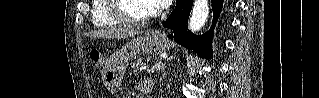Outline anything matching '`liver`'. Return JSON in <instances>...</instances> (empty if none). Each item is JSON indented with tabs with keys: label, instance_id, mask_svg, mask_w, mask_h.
Segmentation results:
<instances>
[{
	"label": "liver",
	"instance_id": "liver-1",
	"mask_svg": "<svg viewBox=\"0 0 319 98\" xmlns=\"http://www.w3.org/2000/svg\"><path fill=\"white\" fill-rule=\"evenodd\" d=\"M141 33V31L137 30H130L125 28H111L90 32L88 33V36L94 38H126Z\"/></svg>",
	"mask_w": 319,
	"mask_h": 98
}]
</instances>
